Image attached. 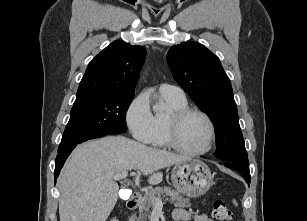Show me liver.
<instances>
[{
    "mask_svg": "<svg viewBox=\"0 0 307 221\" xmlns=\"http://www.w3.org/2000/svg\"><path fill=\"white\" fill-rule=\"evenodd\" d=\"M187 160L123 136L84 142L73 150L58 178L60 221H106L118 199L114 174L136 169L150 184H158L161 169Z\"/></svg>",
    "mask_w": 307,
    "mask_h": 221,
    "instance_id": "obj_1",
    "label": "liver"
}]
</instances>
